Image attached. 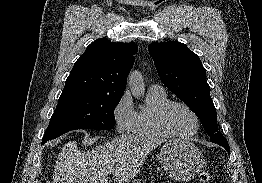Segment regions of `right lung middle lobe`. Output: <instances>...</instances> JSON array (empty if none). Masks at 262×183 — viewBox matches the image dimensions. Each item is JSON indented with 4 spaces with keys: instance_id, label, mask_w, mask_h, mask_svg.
I'll return each instance as SVG.
<instances>
[{
    "instance_id": "dd1d6c3e",
    "label": "right lung middle lobe",
    "mask_w": 262,
    "mask_h": 183,
    "mask_svg": "<svg viewBox=\"0 0 262 183\" xmlns=\"http://www.w3.org/2000/svg\"><path fill=\"white\" fill-rule=\"evenodd\" d=\"M122 96L94 92L62 93L42 140H51L76 129H111L114 109Z\"/></svg>"
}]
</instances>
